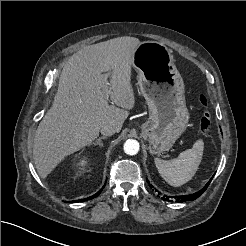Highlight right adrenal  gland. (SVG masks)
<instances>
[{"mask_svg": "<svg viewBox=\"0 0 246 246\" xmlns=\"http://www.w3.org/2000/svg\"><path fill=\"white\" fill-rule=\"evenodd\" d=\"M107 139V136L99 137L95 142H92V145H99L100 147L103 146L102 140Z\"/></svg>", "mask_w": 246, "mask_h": 246, "instance_id": "1", "label": "right adrenal gland"}]
</instances>
